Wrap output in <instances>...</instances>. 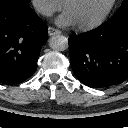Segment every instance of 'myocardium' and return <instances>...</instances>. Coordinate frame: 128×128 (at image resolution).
I'll return each instance as SVG.
<instances>
[{
  "label": "myocardium",
  "instance_id": "obj_1",
  "mask_svg": "<svg viewBox=\"0 0 128 128\" xmlns=\"http://www.w3.org/2000/svg\"><path fill=\"white\" fill-rule=\"evenodd\" d=\"M74 1L75 0H65L63 4L64 10H66V8ZM116 2L117 0H111L107 5V7L105 8V10L99 15V17H97L95 20L89 23L76 25L77 29L81 31H88L100 26L106 20L108 15L111 13L114 6L116 5Z\"/></svg>",
  "mask_w": 128,
  "mask_h": 128
}]
</instances>
